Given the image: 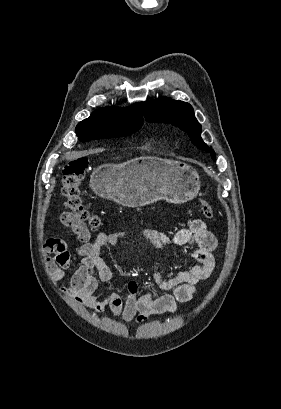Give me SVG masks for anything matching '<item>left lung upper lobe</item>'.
I'll list each match as a JSON object with an SVG mask.
<instances>
[{
    "label": "left lung upper lobe",
    "mask_w": 281,
    "mask_h": 409,
    "mask_svg": "<svg viewBox=\"0 0 281 409\" xmlns=\"http://www.w3.org/2000/svg\"><path fill=\"white\" fill-rule=\"evenodd\" d=\"M141 106L148 122H163L178 126L188 133L197 148L211 153L213 160H216L215 152L203 142L200 136L201 125L195 118L190 104L161 97L150 102H142Z\"/></svg>",
    "instance_id": "left-lung-upper-lobe-1"
}]
</instances>
